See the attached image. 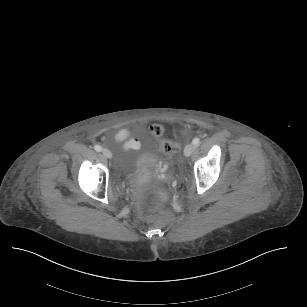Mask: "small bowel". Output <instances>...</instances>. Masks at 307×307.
<instances>
[{
  "label": "small bowel",
  "mask_w": 307,
  "mask_h": 307,
  "mask_svg": "<svg viewBox=\"0 0 307 307\" xmlns=\"http://www.w3.org/2000/svg\"><path fill=\"white\" fill-rule=\"evenodd\" d=\"M130 131L126 128L119 130L115 135V140L124 142L126 149H135L139 147V142L136 139H129Z\"/></svg>",
  "instance_id": "1"
}]
</instances>
